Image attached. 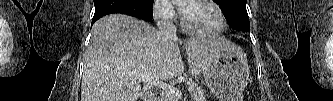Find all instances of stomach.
<instances>
[{
    "instance_id": "stomach-1",
    "label": "stomach",
    "mask_w": 333,
    "mask_h": 101,
    "mask_svg": "<svg viewBox=\"0 0 333 101\" xmlns=\"http://www.w3.org/2000/svg\"><path fill=\"white\" fill-rule=\"evenodd\" d=\"M220 52L210 57L203 69L204 80L220 101H242L249 79V66L243 50L225 39L213 40Z\"/></svg>"
}]
</instances>
